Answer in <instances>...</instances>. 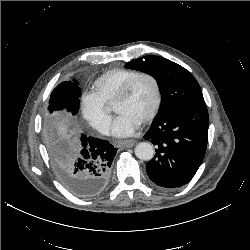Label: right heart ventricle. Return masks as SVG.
Returning a JSON list of instances; mask_svg holds the SVG:
<instances>
[{
    "label": "right heart ventricle",
    "instance_id": "1",
    "mask_svg": "<svg viewBox=\"0 0 250 250\" xmlns=\"http://www.w3.org/2000/svg\"><path fill=\"white\" fill-rule=\"evenodd\" d=\"M138 73L137 70L127 68L108 70L93 81L89 94L103 106L113 105L121 88Z\"/></svg>",
    "mask_w": 250,
    "mask_h": 250
}]
</instances>
